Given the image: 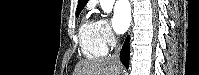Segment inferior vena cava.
Instances as JSON below:
<instances>
[{
    "mask_svg": "<svg viewBox=\"0 0 199 75\" xmlns=\"http://www.w3.org/2000/svg\"><path fill=\"white\" fill-rule=\"evenodd\" d=\"M119 51H120V46H118L117 51L113 54L112 58L115 61H119Z\"/></svg>",
    "mask_w": 199,
    "mask_h": 75,
    "instance_id": "602c4592",
    "label": "inferior vena cava"
}]
</instances>
